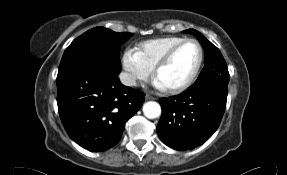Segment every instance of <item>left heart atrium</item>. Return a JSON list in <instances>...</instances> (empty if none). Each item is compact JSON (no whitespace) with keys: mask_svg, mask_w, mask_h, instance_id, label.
I'll return each instance as SVG.
<instances>
[{"mask_svg":"<svg viewBox=\"0 0 287 175\" xmlns=\"http://www.w3.org/2000/svg\"><path fill=\"white\" fill-rule=\"evenodd\" d=\"M157 86L160 88H164L163 84L159 80H157Z\"/></svg>","mask_w":287,"mask_h":175,"instance_id":"left-heart-atrium-1","label":"left heart atrium"}]
</instances>
